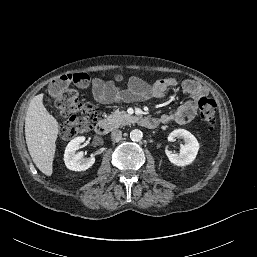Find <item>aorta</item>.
Masks as SVG:
<instances>
[{"instance_id": "1", "label": "aorta", "mask_w": 257, "mask_h": 257, "mask_svg": "<svg viewBox=\"0 0 257 257\" xmlns=\"http://www.w3.org/2000/svg\"><path fill=\"white\" fill-rule=\"evenodd\" d=\"M143 133L139 129H134L130 132V138L134 142H139L142 140Z\"/></svg>"}]
</instances>
